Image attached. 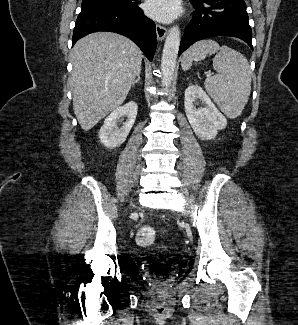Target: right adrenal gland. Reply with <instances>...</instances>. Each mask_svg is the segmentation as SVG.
<instances>
[{
	"instance_id": "right-adrenal-gland-1",
	"label": "right adrenal gland",
	"mask_w": 298,
	"mask_h": 325,
	"mask_svg": "<svg viewBox=\"0 0 298 325\" xmlns=\"http://www.w3.org/2000/svg\"><path fill=\"white\" fill-rule=\"evenodd\" d=\"M140 72H141V70H140ZM140 72H138V74H137L135 80H133V82H132V86H134L135 82H140Z\"/></svg>"
}]
</instances>
